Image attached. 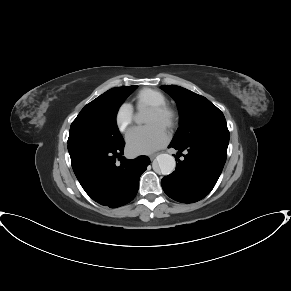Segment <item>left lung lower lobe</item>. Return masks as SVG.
<instances>
[{
  "label": "left lung lower lobe",
  "mask_w": 291,
  "mask_h": 291,
  "mask_svg": "<svg viewBox=\"0 0 291 291\" xmlns=\"http://www.w3.org/2000/svg\"><path fill=\"white\" fill-rule=\"evenodd\" d=\"M229 138H209L179 146L170 144L180 152L186 150L184 160H176V169L162 179L164 192L182 203L203 199L215 186L227 157ZM178 152V154H181Z\"/></svg>",
  "instance_id": "left-lung-lower-lobe-1"
}]
</instances>
